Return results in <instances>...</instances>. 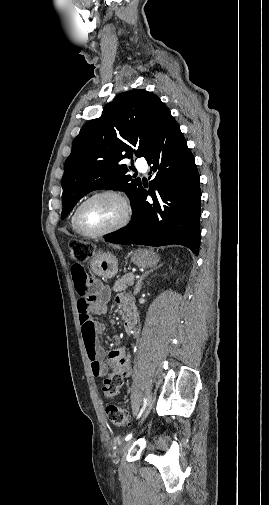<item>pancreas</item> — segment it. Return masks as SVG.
<instances>
[{
    "label": "pancreas",
    "mask_w": 269,
    "mask_h": 505,
    "mask_svg": "<svg viewBox=\"0 0 269 505\" xmlns=\"http://www.w3.org/2000/svg\"><path fill=\"white\" fill-rule=\"evenodd\" d=\"M134 274L133 273H128L124 275L122 278L118 279L114 286H113V291L115 292H121L125 291L128 286H131L134 283Z\"/></svg>",
    "instance_id": "pancreas-1"
}]
</instances>
